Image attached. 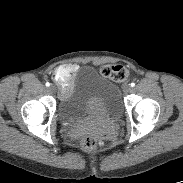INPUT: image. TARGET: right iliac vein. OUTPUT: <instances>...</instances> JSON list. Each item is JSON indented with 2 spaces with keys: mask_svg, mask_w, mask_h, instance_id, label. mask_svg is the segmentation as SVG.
Instances as JSON below:
<instances>
[{
  "mask_svg": "<svg viewBox=\"0 0 183 183\" xmlns=\"http://www.w3.org/2000/svg\"><path fill=\"white\" fill-rule=\"evenodd\" d=\"M49 91L54 92V91H55V87H54L53 85H51V86L49 87Z\"/></svg>",
  "mask_w": 183,
  "mask_h": 183,
  "instance_id": "obj_1",
  "label": "right iliac vein"
}]
</instances>
